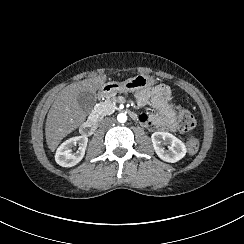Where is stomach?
Instances as JSON below:
<instances>
[{
    "label": "stomach",
    "instance_id": "0dacf381",
    "mask_svg": "<svg viewBox=\"0 0 244 244\" xmlns=\"http://www.w3.org/2000/svg\"><path fill=\"white\" fill-rule=\"evenodd\" d=\"M141 82L143 84H141ZM155 83V80L153 78H146L145 76H137L134 78H130L125 80L122 83L119 82H108L104 83L100 89L99 93L102 95H111L116 92H134L143 86L147 85H153Z\"/></svg>",
    "mask_w": 244,
    "mask_h": 244
}]
</instances>
